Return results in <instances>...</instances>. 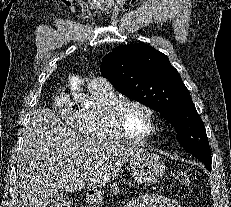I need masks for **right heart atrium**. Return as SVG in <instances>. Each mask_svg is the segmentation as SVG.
Listing matches in <instances>:
<instances>
[{"instance_id":"obj_1","label":"right heart atrium","mask_w":231,"mask_h":207,"mask_svg":"<svg viewBox=\"0 0 231 207\" xmlns=\"http://www.w3.org/2000/svg\"><path fill=\"white\" fill-rule=\"evenodd\" d=\"M52 103L60 119L66 125L75 127L77 115L70 106L67 94L63 91H57L53 96Z\"/></svg>"}]
</instances>
